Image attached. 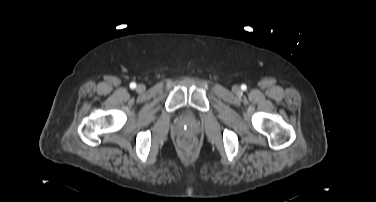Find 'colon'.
<instances>
[{
	"label": "colon",
	"mask_w": 376,
	"mask_h": 202,
	"mask_svg": "<svg viewBox=\"0 0 376 202\" xmlns=\"http://www.w3.org/2000/svg\"><path fill=\"white\" fill-rule=\"evenodd\" d=\"M178 142L181 147L185 149H191L195 146L196 139L189 134H183L178 138Z\"/></svg>",
	"instance_id": "obj_1"
}]
</instances>
